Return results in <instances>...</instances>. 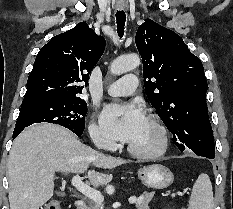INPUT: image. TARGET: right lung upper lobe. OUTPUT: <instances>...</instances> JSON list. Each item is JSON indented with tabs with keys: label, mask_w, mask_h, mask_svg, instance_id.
<instances>
[{
	"label": "right lung upper lobe",
	"mask_w": 233,
	"mask_h": 209,
	"mask_svg": "<svg viewBox=\"0 0 233 209\" xmlns=\"http://www.w3.org/2000/svg\"><path fill=\"white\" fill-rule=\"evenodd\" d=\"M104 49L105 39L85 22L53 37L36 56L22 104L81 99V84H87Z\"/></svg>",
	"instance_id": "obj_1"
}]
</instances>
